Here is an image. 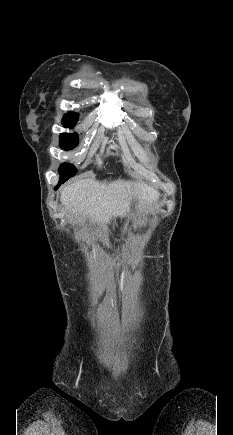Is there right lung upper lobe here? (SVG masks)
Here are the masks:
<instances>
[{
	"mask_svg": "<svg viewBox=\"0 0 233 435\" xmlns=\"http://www.w3.org/2000/svg\"><path fill=\"white\" fill-rule=\"evenodd\" d=\"M75 119H78V114L70 112L64 116L62 123H66Z\"/></svg>",
	"mask_w": 233,
	"mask_h": 435,
	"instance_id": "cb5924a9",
	"label": "right lung upper lobe"
}]
</instances>
